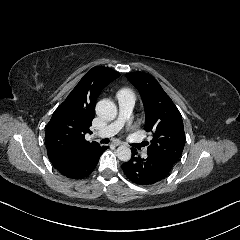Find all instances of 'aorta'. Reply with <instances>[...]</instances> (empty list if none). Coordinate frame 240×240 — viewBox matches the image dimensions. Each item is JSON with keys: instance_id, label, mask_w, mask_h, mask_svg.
Here are the masks:
<instances>
[{"instance_id": "1", "label": "aorta", "mask_w": 240, "mask_h": 240, "mask_svg": "<svg viewBox=\"0 0 240 240\" xmlns=\"http://www.w3.org/2000/svg\"><path fill=\"white\" fill-rule=\"evenodd\" d=\"M96 114L105 121H112L117 116V107L109 99L100 100L96 104ZM117 157L121 161H129L131 158V150L127 146H120L117 148Z\"/></svg>"}]
</instances>
